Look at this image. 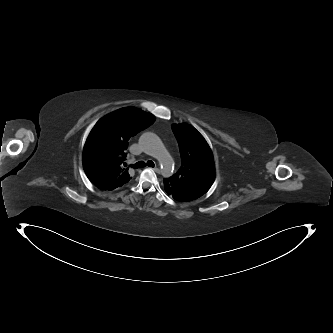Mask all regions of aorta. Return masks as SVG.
Wrapping results in <instances>:
<instances>
[{
    "instance_id": "762f6f07",
    "label": "aorta",
    "mask_w": 333,
    "mask_h": 333,
    "mask_svg": "<svg viewBox=\"0 0 333 333\" xmlns=\"http://www.w3.org/2000/svg\"><path fill=\"white\" fill-rule=\"evenodd\" d=\"M139 143L145 152L158 162L161 174L170 177L173 173L174 160L161 139L152 132H146L140 136Z\"/></svg>"
}]
</instances>
